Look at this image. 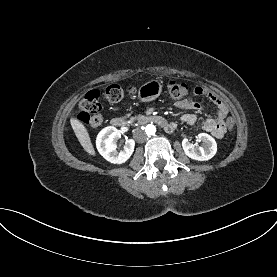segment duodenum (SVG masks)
<instances>
[{
    "mask_svg": "<svg viewBox=\"0 0 277 277\" xmlns=\"http://www.w3.org/2000/svg\"><path fill=\"white\" fill-rule=\"evenodd\" d=\"M140 121L143 123H155L161 126L166 132L171 133L175 130V124L168 122L165 118L159 115H146L140 118ZM111 125L116 128H123L127 125L125 119L121 117H114L111 120Z\"/></svg>",
    "mask_w": 277,
    "mask_h": 277,
    "instance_id": "obj_1",
    "label": "duodenum"
}]
</instances>
